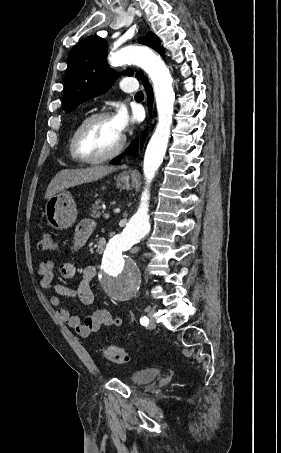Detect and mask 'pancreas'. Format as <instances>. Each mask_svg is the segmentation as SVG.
I'll return each mask as SVG.
<instances>
[{
  "mask_svg": "<svg viewBox=\"0 0 281 453\" xmlns=\"http://www.w3.org/2000/svg\"><path fill=\"white\" fill-rule=\"evenodd\" d=\"M107 214L108 212H105L104 208H102L101 198H97L95 204H92L90 208V216H92V218H99V216H107Z\"/></svg>",
  "mask_w": 281,
  "mask_h": 453,
  "instance_id": "1",
  "label": "pancreas"
}]
</instances>
